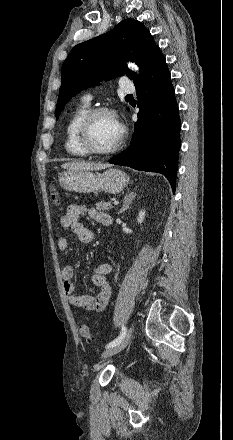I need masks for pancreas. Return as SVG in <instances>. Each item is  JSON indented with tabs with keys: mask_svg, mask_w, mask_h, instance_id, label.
<instances>
[{
	"mask_svg": "<svg viewBox=\"0 0 233 440\" xmlns=\"http://www.w3.org/2000/svg\"><path fill=\"white\" fill-rule=\"evenodd\" d=\"M95 207L98 211H109L113 208L111 202L101 201L100 203H96Z\"/></svg>",
	"mask_w": 233,
	"mask_h": 440,
	"instance_id": "1",
	"label": "pancreas"
}]
</instances>
